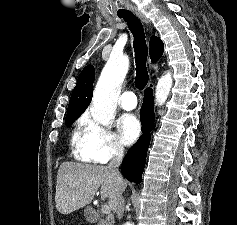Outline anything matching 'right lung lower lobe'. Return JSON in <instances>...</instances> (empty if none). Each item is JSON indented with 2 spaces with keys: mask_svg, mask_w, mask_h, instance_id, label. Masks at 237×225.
I'll use <instances>...</instances> for the list:
<instances>
[{
  "mask_svg": "<svg viewBox=\"0 0 237 225\" xmlns=\"http://www.w3.org/2000/svg\"><path fill=\"white\" fill-rule=\"evenodd\" d=\"M142 132L140 139L130 148L125 156L121 172L131 182L140 183L145 167L147 151L150 144V132L154 126L153 91L147 88L144 92L143 105L140 110Z\"/></svg>",
  "mask_w": 237,
  "mask_h": 225,
  "instance_id": "1",
  "label": "right lung lower lobe"
}]
</instances>
